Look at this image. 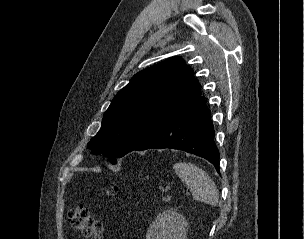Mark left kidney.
<instances>
[{
    "label": "left kidney",
    "mask_w": 304,
    "mask_h": 239,
    "mask_svg": "<svg viewBox=\"0 0 304 239\" xmlns=\"http://www.w3.org/2000/svg\"><path fill=\"white\" fill-rule=\"evenodd\" d=\"M188 223L175 210H165L150 224L146 239H186Z\"/></svg>",
    "instance_id": "left-kidney-1"
}]
</instances>
